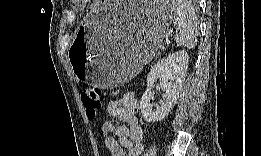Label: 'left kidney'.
Returning <instances> with one entry per match:
<instances>
[{
	"mask_svg": "<svg viewBox=\"0 0 261 156\" xmlns=\"http://www.w3.org/2000/svg\"><path fill=\"white\" fill-rule=\"evenodd\" d=\"M189 56L186 51H177L159 60L147 77V88L140 100L142 117L148 123L163 120L173 108L182 89L188 68ZM156 80L164 94L160 105L153 109L152 88Z\"/></svg>",
	"mask_w": 261,
	"mask_h": 156,
	"instance_id": "obj_1",
	"label": "left kidney"
}]
</instances>
